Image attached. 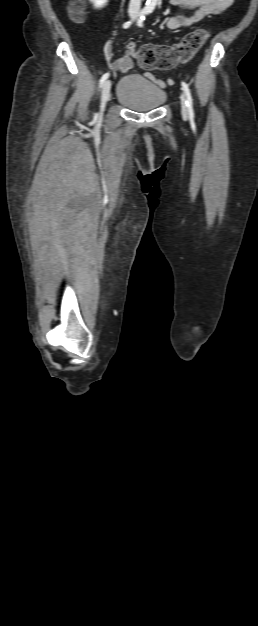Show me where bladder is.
<instances>
[{
  "mask_svg": "<svg viewBox=\"0 0 258 626\" xmlns=\"http://www.w3.org/2000/svg\"><path fill=\"white\" fill-rule=\"evenodd\" d=\"M115 95L121 105L135 112L155 110L165 103L167 97L165 90L140 75L122 78Z\"/></svg>",
  "mask_w": 258,
  "mask_h": 626,
  "instance_id": "1",
  "label": "bladder"
}]
</instances>
